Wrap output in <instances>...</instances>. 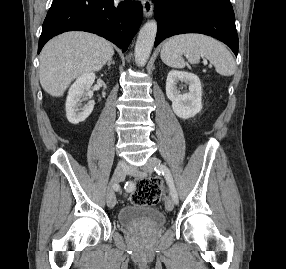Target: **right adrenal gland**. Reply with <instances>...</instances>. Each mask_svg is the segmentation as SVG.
I'll return each instance as SVG.
<instances>
[{"instance_id": "1", "label": "right adrenal gland", "mask_w": 286, "mask_h": 269, "mask_svg": "<svg viewBox=\"0 0 286 269\" xmlns=\"http://www.w3.org/2000/svg\"><path fill=\"white\" fill-rule=\"evenodd\" d=\"M111 64H114V61L111 59L108 61L107 65H108V69H110L111 67Z\"/></svg>"}]
</instances>
